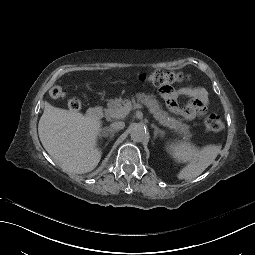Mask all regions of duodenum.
Instances as JSON below:
<instances>
[{
  "mask_svg": "<svg viewBox=\"0 0 255 255\" xmlns=\"http://www.w3.org/2000/svg\"><path fill=\"white\" fill-rule=\"evenodd\" d=\"M102 113L103 112L101 107H93L88 110L87 116L92 120H99L102 116Z\"/></svg>",
  "mask_w": 255,
  "mask_h": 255,
  "instance_id": "obj_1",
  "label": "duodenum"
}]
</instances>
